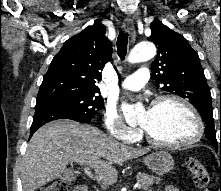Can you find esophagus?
<instances>
[{
    "mask_svg": "<svg viewBox=\"0 0 221 191\" xmlns=\"http://www.w3.org/2000/svg\"><path fill=\"white\" fill-rule=\"evenodd\" d=\"M123 28L125 31H127L131 38L135 37V27H134V22L131 18L127 17L123 21Z\"/></svg>",
    "mask_w": 221,
    "mask_h": 191,
    "instance_id": "34e87169",
    "label": "esophagus"
}]
</instances>
